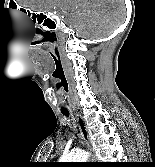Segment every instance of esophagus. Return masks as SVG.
I'll return each mask as SVG.
<instances>
[{
  "label": "esophagus",
  "mask_w": 155,
  "mask_h": 167,
  "mask_svg": "<svg viewBox=\"0 0 155 167\" xmlns=\"http://www.w3.org/2000/svg\"><path fill=\"white\" fill-rule=\"evenodd\" d=\"M77 122L80 130V135L83 139V143L85 147L90 151L91 150V142H90V135L87 129V126L84 122V119L82 118L81 115L77 114Z\"/></svg>",
  "instance_id": "34e87169"
}]
</instances>
